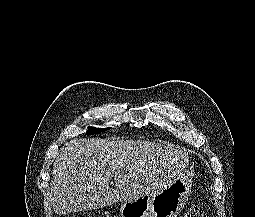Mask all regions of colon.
<instances>
[{"label": "colon", "instance_id": "1", "mask_svg": "<svg viewBox=\"0 0 255 217\" xmlns=\"http://www.w3.org/2000/svg\"><path fill=\"white\" fill-rule=\"evenodd\" d=\"M185 217H204V211L199 204H193L186 212Z\"/></svg>", "mask_w": 255, "mask_h": 217}]
</instances>
